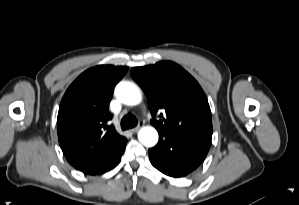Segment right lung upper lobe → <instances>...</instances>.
I'll return each mask as SVG.
<instances>
[{
	"label": "right lung upper lobe",
	"mask_w": 299,
	"mask_h": 205,
	"mask_svg": "<svg viewBox=\"0 0 299 205\" xmlns=\"http://www.w3.org/2000/svg\"><path fill=\"white\" fill-rule=\"evenodd\" d=\"M128 67L99 65L83 72L65 92L58 112V139L63 154L77 170L104 172L123 152L120 136L108 111L114 86Z\"/></svg>",
	"instance_id": "cb5924a9"
}]
</instances>
